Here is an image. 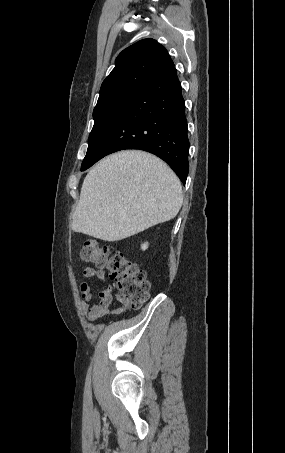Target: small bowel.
Returning a JSON list of instances; mask_svg holds the SVG:
<instances>
[{
  "mask_svg": "<svg viewBox=\"0 0 285 453\" xmlns=\"http://www.w3.org/2000/svg\"><path fill=\"white\" fill-rule=\"evenodd\" d=\"M83 275L87 278L105 281V272L100 269L86 267L83 270ZM78 289L82 298L80 308L90 320H96L108 313L112 301V286L110 284H107L105 288L97 293V302L92 306H90V302L94 299V294L90 285L87 282H81Z\"/></svg>",
  "mask_w": 285,
  "mask_h": 453,
  "instance_id": "c3829d8e",
  "label": "small bowel"
}]
</instances>
